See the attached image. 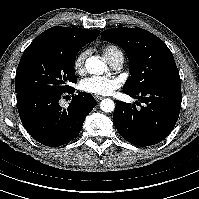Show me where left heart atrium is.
I'll use <instances>...</instances> for the list:
<instances>
[{
  "label": "left heart atrium",
  "mask_w": 199,
  "mask_h": 199,
  "mask_svg": "<svg viewBox=\"0 0 199 199\" xmlns=\"http://www.w3.org/2000/svg\"><path fill=\"white\" fill-rule=\"evenodd\" d=\"M80 90L97 96L112 94L120 87V82L115 78L92 76L80 82Z\"/></svg>",
  "instance_id": "39dd6f15"
}]
</instances>
